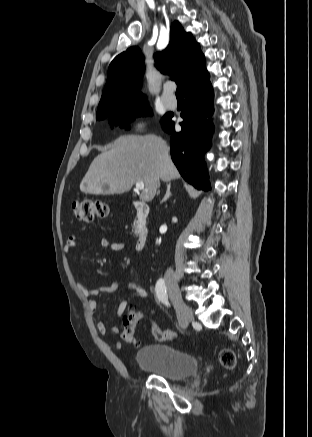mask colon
I'll use <instances>...</instances> for the list:
<instances>
[{
  "label": "colon",
  "mask_w": 312,
  "mask_h": 437,
  "mask_svg": "<svg viewBox=\"0 0 312 437\" xmlns=\"http://www.w3.org/2000/svg\"><path fill=\"white\" fill-rule=\"evenodd\" d=\"M73 216L79 221L91 222L95 219L106 218L109 214L108 206L96 199L84 198L74 200L71 206ZM146 318L141 310H130L123 318L122 338L128 344L136 345L135 329L138 322ZM150 330L158 341H167L177 338V333L172 330L161 329L156 322L149 318ZM219 361L223 367L232 370L236 366L235 353L228 348H224L219 353Z\"/></svg>",
  "instance_id": "obj_1"
}]
</instances>
